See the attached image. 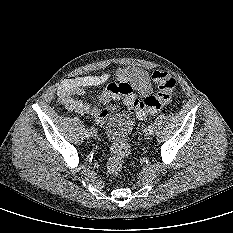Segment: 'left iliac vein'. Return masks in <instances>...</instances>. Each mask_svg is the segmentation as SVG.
Returning a JSON list of instances; mask_svg holds the SVG:
<instances>
[{"label": "left iliac vein", "instance_id": "4c4485c4", "mask_svg": "<svg viewBox=\"0 0 233 233\" xmlns=\"http://www.w3.org/2000/svg\"><path fill=\"white\" fill-rule=\"evenodd\" d=\"M141 134H142V135H150V133H149V131H148L147 128H142V129H141Z\"/></svg>", "mask_w": 233, "mask_h": 233}]
</instances>
